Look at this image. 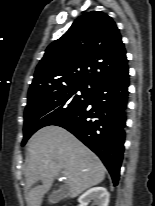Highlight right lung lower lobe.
I'll list each match as a JSON object with an SVG mask.
<instances>
[{
	"mask_svg": "<svg viewBox=\"0 0 155 206\" xmlns=\"http://www.w3.org/2000/svg\"><path fill=\"white\" fill-rule=\"evenodd\" d=\"M128 67L94 89L91 99L53 125L74 134L102 160L114 185L123 159L128 104Z\"/></svg>",
	"mask_w": 155,
	"mask_h": 206,
	"instance_id": "1",
	"label": "right lung lower lobe"
}]
</instances>
